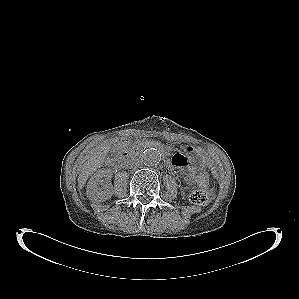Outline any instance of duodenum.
<instances>
[{
	"label": "duodenum",
	"instance_id": "duodenum-1",
	"mask_svg": "<svg viewBox=\"0 0 299 299\" xmlns=\"http://www.w3.org/2000/svg\"><path fill=\"white\" fill-rule=\"evenodd\" d=\"M139 151H140L139 145L129 146L119 157L117 163L119 165L125 164L127 161L134 158L139 153ZM168 165L170 166V161H168Z\"/></svg>",
	"mask_w": 299,
	"mask_h": 299
}]
</instances>
